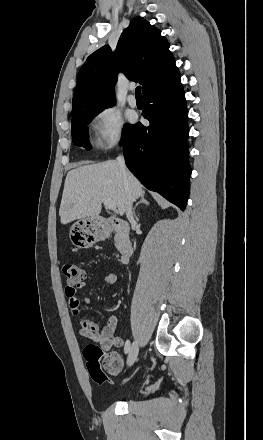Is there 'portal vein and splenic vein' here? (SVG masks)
Returning a JSON list of instances; mask_svg holds the SVG:
<instances>
[{"label": "portal vein and splenic vein", "mask_w": 263, "mask_h": 440, "mask_svg": "<svg viewBox=\"0 0 263 440\" xmlns=\"http://www.w3.org/2000/svg\"><path fill=\"white\" fill-rule=\"evenodd\" d=\"M102 202L104 203L105 207L109 210L116 211L117 206L113 200L110 198H102Z\"/></svg>", "instance_id": "1"}]
</instances>
